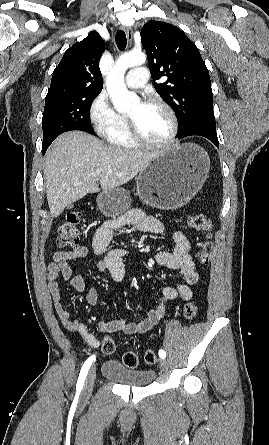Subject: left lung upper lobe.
Segmentation results:
<instances>
[{"instance_id": "obj_1", "label": "left lung upper lobe", "mask_w": 269, "mask_h": 445, "mask_svg": "<svg viewBox=\"0 0 269 445\" xmlns=\"http://www.w3.org/2000/svg\"><path fill=\"white\" fill-rule=\"evenodd\" d=\"M156 91L176 111L180 135L200 127L216 128L208 69L196 45L176 26L150 21L141 29Z\"/></svg>"}]
</instances>
